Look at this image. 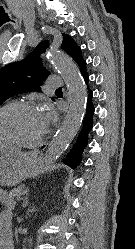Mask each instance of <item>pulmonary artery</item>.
I'll return each instance as SVG.
<instances>
[{
    "label": "pulmonary artery",
    "mask_w": 135,
    "mask_h": 249,
    "mask_svg": "<svg viewBox=\"0 0 135 249\" xmlns=\"http://www.w3.org/2000/svg\"><path fill=\"white\" fill-rule=\"evenodd\" d=\"M48 85L53 88H58L62 85L61 78L59 76H53L49 78Z\"/></svg>",
    "instance_id": "1"
}]
</instances>
